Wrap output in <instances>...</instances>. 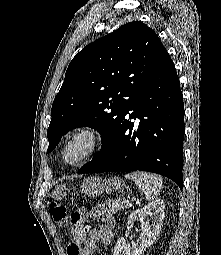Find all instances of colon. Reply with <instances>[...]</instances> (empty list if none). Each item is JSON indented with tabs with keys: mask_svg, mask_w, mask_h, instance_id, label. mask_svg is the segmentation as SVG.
Returning a JSON list of instances; mask_svg holds the SVG:
<instances>
[{
	"mask_svg": "<svg viewBox=\"0 0 221 255\" xmlns=\"http://www.w3.org/2000/svg\"><path fill=\"white\" fill-rule=\"evenodd\" d=\"M48 211L55 224L59 227L65 228L70 225L72 230L76 232H82L86 228V219L89 214L87 208L75 211L68 217L65 208L53 202L49 204Z\"/></svg>",
	"mask_w": 221,
	"mask_h": 255,
	"instance_id": "5ec220e1",
	"label": "colon"
}]
</instances>
